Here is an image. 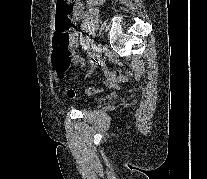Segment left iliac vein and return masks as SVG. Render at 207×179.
I'll return each instance as SVG.
<instances>
[{"label":"left iliac vein","mask_w":207,"mask_h":179,"mask_svg":"<svg viewBox=\"0 0 207 179\" xmlns=\"http://www.w3.org/2000/svg\"><path fill=\"white\" fill-rule=\"evenodd\" d=\"M103 49H104L103 45H98V50H97V53H96V57L94 58L95 62H100L103 59V54H102ZM95 67H96V64H93L91 69L89 70V74L93 71V69Z\"/></svg>","instance_id":"1"}]
</instances>
